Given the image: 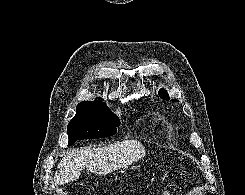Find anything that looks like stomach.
Wrapping results in <instances>:
<instances>
[{"mask_svg": "<svg viewBox=\"0 0 245 195\" xmlns=\"http://www.w3.org/2000/svg\"><path fill=\"white\" fill-rule=\"evenodd\" d=\"M137 169H140V166L139 165H135V166H132L130 168V170H137Z\"/></svg>", "mask_w": 245, "mask_h": 195, "instance_id": "obj_1", "label": "stomach"}]
</instances>
